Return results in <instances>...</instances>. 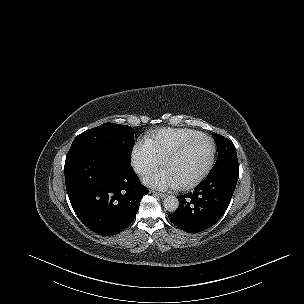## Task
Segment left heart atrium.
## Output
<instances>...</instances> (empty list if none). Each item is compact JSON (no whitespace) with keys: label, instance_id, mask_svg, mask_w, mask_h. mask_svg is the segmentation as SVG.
<instances>
[{"label":"left heart atrium","instance_id":"left-heart-atrium-1","mask_svg":"<svg viewBox=\"0 0 304 304\" xmlns=\"http://www.w3.org/2000/svg\"><path fill=\"white\" fill-rule=\"evenodd\" d=\"M143 182L159 190L175 189L178 187V183L166 171L148 174L143 178Z\"/></svg>","mask_w":304,"mask_h":304}]
</instances>
